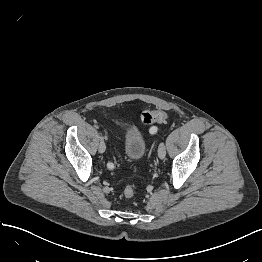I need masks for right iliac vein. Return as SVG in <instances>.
Here are the masks:
<instances>
[{"label": "right iliac vein", "mask_w": 262, "mask_h": 262, "mask_svg": "<svg viewBox=\"0 0 262 262\" xmlns=\"http://www.w3.org/2000/svg\"><path fill=\"white\" fill-rule=\"evenodd\" d=\"M105 150H106V145H105L104 139L101 138V139H100V142H99V145H98V151H99L100 153H104Z\"/></svg>", "instance_id": "1"}]
</instances>
